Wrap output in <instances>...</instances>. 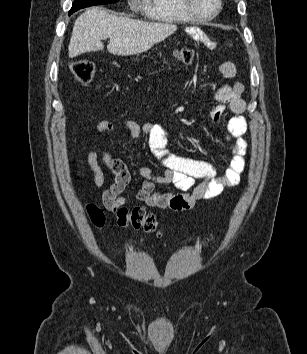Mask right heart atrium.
<instances>
[{
  "instance_id": "d8ad5b80",
  "label": "right heart atrium",
  "mask_w": 307,
  "mask_h": 354,
  "mask_svg": "<svg viewBox=\"0 0 307 354\" xmlns=\"http://www.w3.org/2000/svg\"><path fill=\"white\" fill-rule=\"evenodd\" d=\"M141 0H134V3H139Z\"/></svg>"
}]
</instances>
